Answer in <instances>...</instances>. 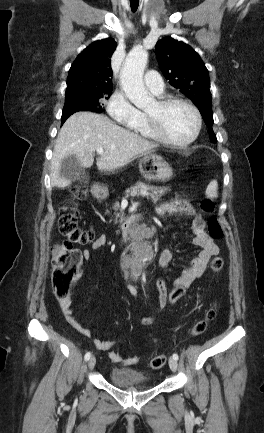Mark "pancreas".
Here are the masks:
<instances>
[{
  "mask_svg": "<svg viewBox=\"0 0 264 433\" xmlns=\"http://www.w3.org/2000/svg\"><path fill=\"white\" fill-rule=\"evenodd\" d=\"M143 191H150V193L142 194ZM165 193H166V188L164 187H155V186H150L148 184H145L143 182H137L135 186L126 189L124 195L126 198H128L129 196L131 197L143 196L146 197L147 199L151 198L152 201L156 203L157 201H159L161 196H163ZM113 209L115 210V212L120 211L119 202H115V204L113 205ZM116 215L119 216L120 213H116Z\"/></svg>",
  "mask_w": 264,
  "mask_h": 433,
  "instance_id": "obj_1",
  "label": "pancreas"
}]
</instances>
